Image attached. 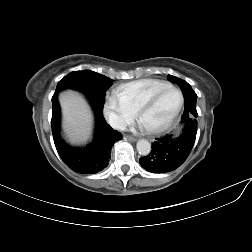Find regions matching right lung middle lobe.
<instances>
[{
  "label": "right lung middle lobe",
  "mask_w": 252,
  "mask_h": 252,
  "mask_svg": "<svg viewBox=\"0 0 252 252\" xmlns=\"http://www.w3.org/2000/svg\"><path fill=\"white\" fill-rule=\"evenodd\" d=\"M111 83L110 78L91 70L73 71L58 82L52 102L61 90L72 88L83 92L94 106L103 107L105 92Z\"/></svg>",
  "instance_id": "dd1d6c3e"
}]
</instances>
